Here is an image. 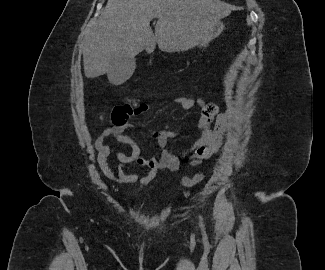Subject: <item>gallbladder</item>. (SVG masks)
Here are the masks:
<instances>
[{"instance_id":"obj_1","label":"gallbladder","mask_w":325,"mask_h":270,"mask_svg":"<svg viewBox=\"0 0 325 270\" xmlns=\"http://www.w3.org/2000/svg\"><path fill=\"white\" fill-rule=\"evenodd\" d=\"M112 63L114 64V69L111 71V74L118 73L122 76H128L135 69V60L124 56L114 58Z\"/></svg>"}]
</instances>
